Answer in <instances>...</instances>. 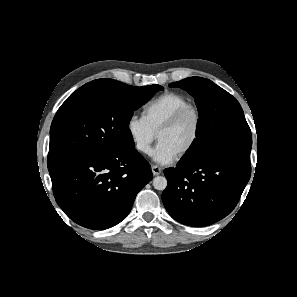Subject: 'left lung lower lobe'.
<instances>
[{
	"label": "left lung lower lobe",
	"mask_w": 297,
	"mask_h": 297,
	"mask_svg": "<svg viewBox=\"0 0 297 297\" xmlns=\"http://www.w3.org/2000/svg\"><path fill=\"white\" fill-rule=\"evenodd\" d=\"M164 174L166 210L182 224L203 227L232 212L250 179L251 167L228 158L204 157L181 160Z\"/></svg>",
	"instance_id": "left-lung-lower-lobe-1"
}]
</instances>
